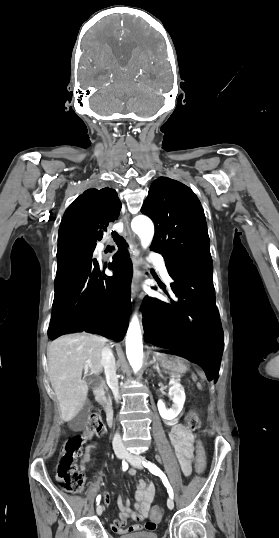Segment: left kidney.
<instances>
[{
	"label": "left kidney",
	"mask_w": 279,
	"mask_h": 538,
	"mask_svg": "<svg viewBox=\"0 0 279 538\" xmlns=\"http://www.w3.org/2000/svg\"><path fill=\"white\" fill-rule=\"evenodd\" d=\"M169 396L173 402V406L170 408V410L166 408L162 400H159L157 404L159 414L161 418H164V420H174V418H177L186 400L184 388L181 386V384H171V388H169Z\"/></svg>",
	"instance_id": "1"
}]
</instances>
